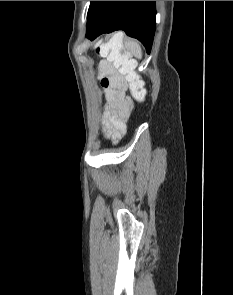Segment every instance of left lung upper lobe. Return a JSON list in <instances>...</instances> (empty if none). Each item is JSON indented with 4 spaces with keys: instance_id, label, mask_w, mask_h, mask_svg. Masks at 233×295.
I'll list each match as a JSON object with an SVG mask.
<instances>
[{
    "instance_id": "obj_1",
    "label": "left lung upper lobe",
    "mask_w": 233,
    "mask_h": 295,
    "mask_svg": "<svg viewBox=\"0 0 233 295\" xmlns=\"http://www.w3.org/2000/svg\"><path fill=\"white\" fill-rule=\"evenodd\" d=\"M94 2H95V1H91V3H90V7H89V10H88V14H89V12H90V10H91V7H92V5L94 4Z\"/></svg>"
}]
</instances>
